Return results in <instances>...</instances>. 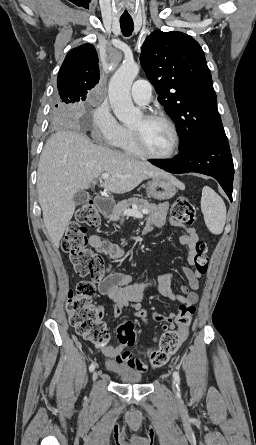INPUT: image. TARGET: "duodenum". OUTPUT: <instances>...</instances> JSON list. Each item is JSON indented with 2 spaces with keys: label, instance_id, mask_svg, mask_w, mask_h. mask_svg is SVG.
<instances>
[{
  "label": "duodenum",
  "instance_id": "duodenum-1",
  "mask_svg": "<svg viewBox=\"0 0 256 445\" xmlns=\"http://www.w3.org/2000/svg\"><path fill=\"white\" fill-rule=\"evenodd\" d=\"M96 205L99 214L103 217L108 216L113 209V202L105 197L98 196L96 197Z\"/></svg>",
  "mask_w": 256,
  "mask_h": 445
}]
</instances>
